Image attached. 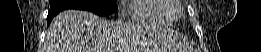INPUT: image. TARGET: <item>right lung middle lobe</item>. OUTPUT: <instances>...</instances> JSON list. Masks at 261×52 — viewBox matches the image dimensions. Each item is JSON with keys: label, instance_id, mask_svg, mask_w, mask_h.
<instances>
[{"label": "right lung middle lobe", "instance_id": "obj_1", "mask_svg": "<svg viewBox=\"0 0 261 52\" xmlns=\"http://www.w3.org/2000/svg\"><path fill=\"white\" fill-rule=\"evenodd\" d=\"M78 9L97 15H109L117 10L116 0H50V9Z\"/></svg>", "mask_w": 261, "mask_h": 52}]
</instances>
